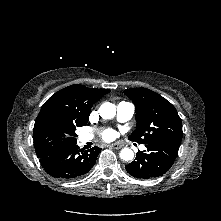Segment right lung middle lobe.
Returning a JSON list of instances; mask_svg holds the SVG:
<instances>
[{
	"label": "right lung middle lobe",
	"instance_id": "right-lung-middle-lobe-1",
	"mask_svg": "<svg viewBox=\"0 0 221 221\" xmlns=\"http://www.w3.org/2000/svg\"><path fill=\"white\" fill-rule=\"evenodd\" d=\"M86 124L54 113L38 115L34 125V145L37 154L76 143L77 127Z\"/></svg>",
	"mask_w": 221,
	"mask_h": 221
}]
</instances>
